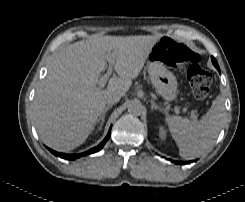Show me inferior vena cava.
Returning a JSON list of instances; mask_svg holds the SVG:
<instances>
[{
    "instance_id": "inferior-vena-cava-1",
    "label": "inferior vena cava",
    "mask_w": 245,
    "mask_h": 202,
    "mask_svg": "<svg viewBox=\"0 0 245 202\" xmlns=\"http://www.w3.org/2000/svg\"><path fill=\"white\" fill-rule=\"evenodd\" d=\"M122 93L119 92V91H112L110 93L107 94L106 96V99H105V102L109 105H113L117 102H119V100L121 99L122 97Z\"/></svg>"
}]
</instances>
